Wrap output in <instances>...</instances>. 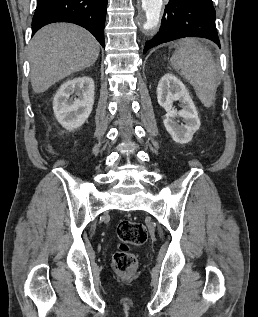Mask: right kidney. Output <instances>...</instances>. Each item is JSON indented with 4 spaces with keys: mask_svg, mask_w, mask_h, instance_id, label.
<instances>
[{
    "mask_svg": "<svg viewBox=\"0 0 258 317\" xmlns=\"http://www.w3.org/2000/svg\"><path fill=\"white\" fill-rule=\"evenodd\" d=\"M93 104L94 80L91 76H76V78L66 80L58 88L53 98L55 116L67 130H74V128L82 126L88 118Z\"/></svg>",
    "mask_w": 258,
    "mask_h": 317,
    "instance_id": "right-kidney-1",
    "label": "right kidney"
}]
</instances>
